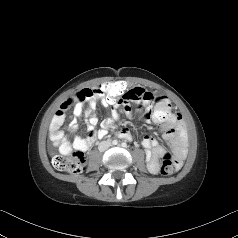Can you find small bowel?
Returning <instances> with one entry per match:
<instances>
[{
    "mask_svg": "<svg viewBox=\"0 0 238 238\" xmlns=\"http://www.w3.org/2000/svg\"><path fill=\"white\" fill-rule=\"evenodd\" d=\"M70 99L71 98L65 100L61 104L50 124L51 140L53 144L59 148L60 153L65 155L70 153L72 148L80 151L89 150L96 139H101L106 136L108 129L119 119L121 113H124L128 117L131 116L130 103H136L140 110L149 118V106L154 102L155 97L141 87L128 89L121 102L118 103H107V98L105 97H94L90 100L89 110L85 113V124L88 135L85 139L75 137L72 141L60 130L65 120V112L68 108L73 106L74 118L70 122V129L74 131L77 127L78 120L84 113V104L79 101L70 102ZM98 103L111 109L110 117L103 122V126L100 129L96 128L98 117L94 112ZM157 123L161 124L163 137L171 145L176 158L178 160L183 159L186 153L187 133L181 117L175 113L171 120L165 123ZM118 136L126 140L132 139L130 131L126 128L120 129ZM142 146L146 151V161L149 171L157 173L159 169V158L164 155L166 151L165 148L159 144L154 137L148 135L143 137Z\"/></svg>",
    "mask_w": 238,
    "mask_h": 238,
    "instance_id": "obj_1",
    "label": "small bowel"
}]
</instances>
